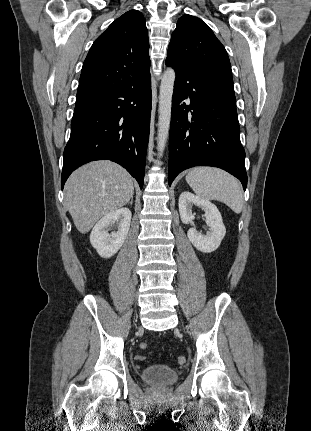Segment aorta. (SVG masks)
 Listing matches in <instances>:
<instances>
[{
  "instance_id": "aorta-1",
  "label": "aorta",
  "mask_w": 311,
  "mask_h": 431,
  "mask_svg": "<svg viewBox=\"0 0 311 431\" xmlns=\"http://www.w3.org/2000/svg\"><path fill=\"white\" fill-rule=\"evenodd\" d=\"M174 82L175 72L172 68H167L162 76L159 92L158 156H162L169 136Z\"/></svg>"
}]
</instances>
